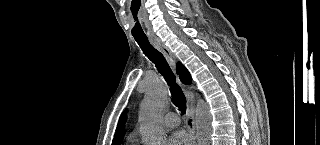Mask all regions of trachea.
<instances>
[{
  "label": "trachea",
  "instance_id": "1",
  "mask_svg": "<svg viewBox=\"0 0 320 145\" xmlns=\"http://www.w3.org/2000/svg\"><path fill=\"white\" fill-rule=\"evenodd\" d=\"M145 56H147L156 66L157 70L163 75L168 85L174 105L184 114L186 111V98L181 87L176 82V77L171 70L163 54L155 49L147 37H134Z\"/></svg>",
  "mask_w": 320,
  "mask_h": 145
}]
</instances>
